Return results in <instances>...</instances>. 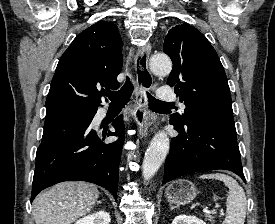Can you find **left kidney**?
<instances>
[{"mask_svg":"<svg viewBox=\"0 0 275 224\" xmlns=\"http://www.w3.org/2000/svg\"><path fill=\"white\" fill-rule=\"evenodd\" d=\"M172 224H206V223L195 216L179 215L173 219Z\"/></svg>","mask_w":275,"mask_h":224,"instance_id":"obj_1","label":"left kidney"}]
</instances>
